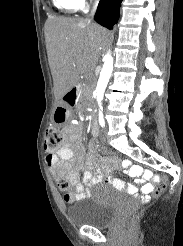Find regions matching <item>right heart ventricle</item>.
Here are the masks:
<instances>
[{
  "label": "right heart ventricle",
  "instance_id": "1",
  "mask_svg": "<svg viewBox=\"0 0 183 246\" xmlns=\"http://www.w3.org/2000/svg\"><path fill=\"white\" fill-rule=\"evenodd\" d=\"M54 7L63 13L76 12L80 6L76 0H52Z\"/></svg>",
  "mask_w": 183,
  "mask_h": 246
}]
</instances>
